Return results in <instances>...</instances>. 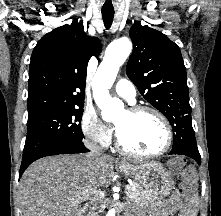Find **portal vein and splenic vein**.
<instances>
[{
    "label": "portal vein and splenic vein",
    "mask_w": 221,
    "mask_h": 216,
    "mask_svg": "<svg viewBox=\"0 0 221 216\" xmlns=\"http://www.w3.org/2000/svg\"><path fill=\"white\" fill-rule=\"evenodd\" d=\"M129 189H131V186H126V190H129ZM93 196H91V197H89L88 199H91V198H94V199H96V198H103L104 197V192H102V191H94L93 192ZM84 198H87L86 196H84Z\"/></svg>",
    "instance_id": "portal-vein-and-splenic-vein-1"
}]
</instances>
